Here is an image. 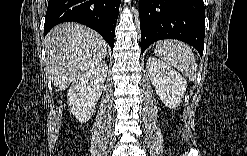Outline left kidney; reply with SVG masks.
I'll return each instance as SVG.
<instances>
[{
  "label": "left kidney",
  "instance_id": "left-kidney-1",
  "mask_svg": "<svg viewBox=\"0 0 247 156\" xmlns=\"http://www.w3.org/2000/svg\"><path fill=\"white\" fill-rule=\"evenodd\" d=\"M148 76L160 100L169 108L176 109L187 88L184 77L171 66L156 57L146 63Z\"/></svg>",
  "mask_w": 247,
  "mask_h": 156
}]
</instances>
